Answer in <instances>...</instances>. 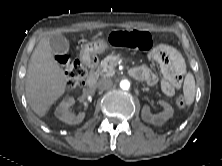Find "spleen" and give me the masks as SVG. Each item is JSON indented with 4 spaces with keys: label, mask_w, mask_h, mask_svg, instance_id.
<instances>
[{
    "label": "spleen",
    "mask_w": 222,
    "mask_h": 166,
    "mask_svg": "<svg viewBox=\"0 0 222 166\" xmlns=\"http://www.w3.org/2000/svg\"><path fill=\"white\" fill-rule=\"evenodd\" d=\"M195 79L192 73H187L184 79L183 94L186 105L190 106L195 98Z\"/></svg>",
    "instance_id": "1"
}]
</instances>
